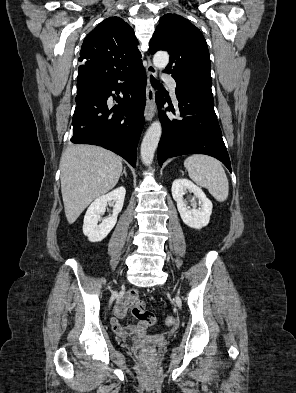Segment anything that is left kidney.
I'll return each instance as SVG.
<instances>
[{
	"label": "left kidney",
	"instance_id": "5707ae66",
	"mask_svg": "<svg viewBox=\"0 0 296 393\" xmlns=\"http://www.w3.org/2000/svg\"><path fill=\"white\" fill-rule=\"evenodd\" d=\"M186 191L192 192L194 198L199 200V208H196L195 201L191 204L192 208L187 206V202L183 198ZM172 196L177 202V209L187 226L199 230L208 225L213 205L200 187L187 179H176L172 183Z\"/></svg>",
	"mask_w": 296,
	"mask_h": 393
}]
</instances>
